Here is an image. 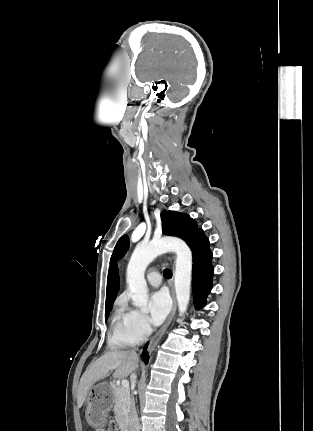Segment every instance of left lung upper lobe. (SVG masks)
Masks as SVG:
<instances>
[{"label":"left lung upper lobe","instance_id":"obj_1","mask_svg":"<svg viewBox=\"0 0 313 431\" xmlns=\"http://www.w3.org/2000/svg\"><path fill=\"white\" fill-rule=\"evenodd\" d=\"M163 233L183 239L189 246L192 244L200 230L195 221L187 214L175 211H163L161 213ZM129 248V237L122 236L112 254L111 260L122 258Z\"/></svg>","mask_w":313,"mask_h":431}]
</instances>
